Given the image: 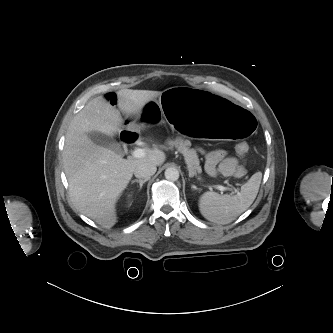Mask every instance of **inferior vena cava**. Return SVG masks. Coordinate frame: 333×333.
I'll list each match as a JSON object with an SVG mask.
<instances>
[{
    "instance_id": "602c4592",
    "label": "inferior vena cava",
    "mask_w": 333,
    "mask_h": 333,
    "mask_svg": "<svg viewBox=\"0 0 333 333\" xmlns=\"http://www.w3.org/2000/svg\"><path fill=\"white\" fill-rule=\"evenodd\" d=\"M157 168L154 164L151 163H141L136 166L134 174L137 178H150L155 174Z\"/></svg>"
}]
</instances>
